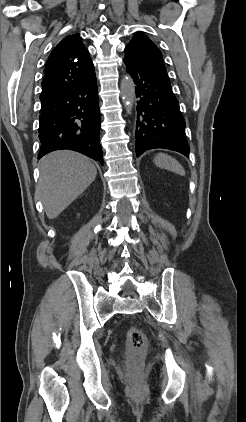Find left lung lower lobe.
<instances>
[{
    "mask_svg": "<svg viewBox=\"0 0 246 422\" xmlns=\"http://www.w3.org/2000/svg\"><path fill=\"white\" fill-rule=\"evenodd\" d=\"M127 72L136 84V155L154 148L170 149L189 157L185 121L170 81L140 59L125 52Z\"/></svg>",
    "mask_w": 246,
    "mask_h": 422,
    "instance_id": "obj_1",
    "label": "left lung lower lobe"
}]
</instances>
